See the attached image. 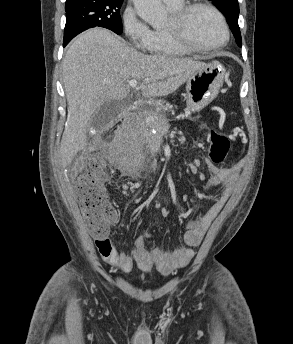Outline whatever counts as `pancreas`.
I'll return each instance as SVG.
<instances>
[{
	"label": "pancreas",
	"mask_w": 293,
	"mask_h": 344,
	"mask_svg": "<svg viewBox=\"0 0 293 344\" xmlns=\"http://www.w3.org/2000/svg\"><path fill=\"white\" fill-rule=\"evenodd\" d=\"M149 119L150 121H146L141 125L140 131H145L147 128H156L166 123L165 117L160 114L149 115Z\"/></svg>",
	"instance_id": "obj_1"
}]
</instances>
